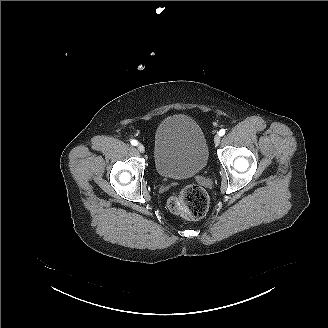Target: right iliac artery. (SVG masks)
<instances>
[{"label":"right iliac artery","instance_id":"1","mask_svg":"<svg viewBox=\"0 0 328 328\" xmlns=\"http://www.w3.org/2000/svg\"><path fill=\"white\" fill-rule=\"evenodd\" d=\"M131 144L133 145V146H136L137 144H138V142L136 141V140H131Z\"/></svg>","mask_w":328,"mask_h":328}]
</instances>
